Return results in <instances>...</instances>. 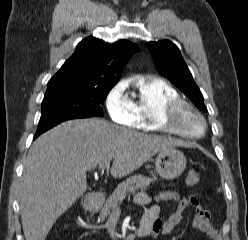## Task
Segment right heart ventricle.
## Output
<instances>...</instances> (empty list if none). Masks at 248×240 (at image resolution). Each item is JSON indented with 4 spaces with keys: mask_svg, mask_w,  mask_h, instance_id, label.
I'll return each mask as SVG.
<instances>
[{
    "mask_svg": "<svg viewBox=\"0 0 248 240\" xmlns=\"http://www.w3.org/2000/svg\"><path fill=\"white\" fill-rule=\"evenodd\" d=\"M177 98H181L177 89L163 79L147 78L139 81L137 98L132 101L135 127L149 132H165L159 124L161 109Z\"/></svg>",
    "mask_w": 248,
    "mask_h": 240,
    "instance_id": "e07e8e85",
    "label": "right heart ventricle"
}]
</instances>
